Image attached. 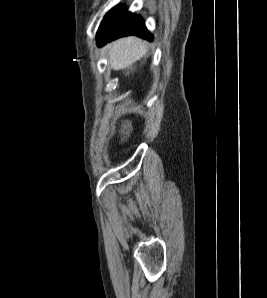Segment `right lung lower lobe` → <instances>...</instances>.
I'll return each mask as SVG.
<instances>
[{"label":"right lung lower lobe","instance_id":"obj_1","mask_svg":"<svg viewBox=\"0 0 267 298\" xmlns=\"http://www.w3.org/2000/svg\"><path fill=\"white\" fill-rule=\"evenodd\" d=\"M128 35H136L148 40L153 39L141 16L128 12L125 6H116L104 17L97 32V43L100 46Z\"/></svg>","mask_w":267,"mask_h":298}]
</instances>
